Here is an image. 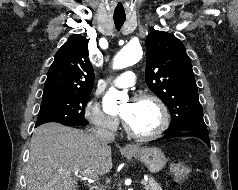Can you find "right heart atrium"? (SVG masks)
<instances>
[{"label": "right heart atrium", "instance_id": "right-heart-atrium-1", "mask_svg": "<svg viewBox=\"0 0 238 190\" xmlns=\"http://www.w3.org/2000/svg\"><path fill=\"white\" fill-rule=\"evenodd\" d=\"M84 117L95 128L103 131L115 132L119 127L118 118L105 113L101 105L95 100H90L86 104Z\"/></svg>", "mask_w": 238, "mask_h": 190}]
</instances>
